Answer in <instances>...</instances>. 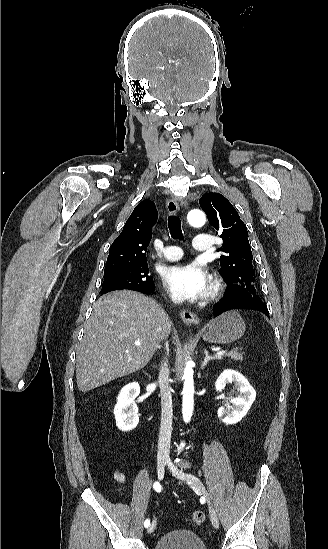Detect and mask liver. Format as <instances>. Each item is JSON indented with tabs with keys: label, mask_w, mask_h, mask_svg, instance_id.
<instances>
[{
	"label": "liver",
	"mask_w": 328,
	"mask_h": 549,
	"mask_svg": "<svg viewBox=\"0 0 328 549\" xmlns=\"http://www.w3.org/2000/svg\"><path fill=\"white\" fill-rule=\"evenodd\" d=\"M76 359V383L87 393L146 367L172 323L159 303L135 291L100 297L84 327ZM135 341L141 345L136 347Z\"/></svg>",
	"instance_id": "obj_1"
}]
</instances>
